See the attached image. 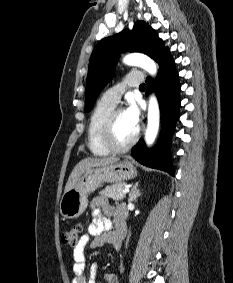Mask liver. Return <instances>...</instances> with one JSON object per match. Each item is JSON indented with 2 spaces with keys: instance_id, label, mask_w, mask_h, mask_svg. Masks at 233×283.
Wrapping results in <instances>:
<instances>
[{
  "instance_id": "1",
  "label": "liver",
  "mask_w": 233,
  "mask_h": 283,
  "mask_svg": "<svg viewBox=\"0 0 233 283\" xmlns=\"http://www.w3.org/2000/svg\"><path fill=\"white\" fill-rule=\"evenodd\" d=\"M119 161L117 157H105V158H85L81 160L72 170L68 181L65 186L64 192L69 191L72 189L76 183L78 182L79 178L81 177L82 173L91 167H100V166H107L110 164H114Z\"/></svg>"
}]
</instances>
